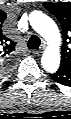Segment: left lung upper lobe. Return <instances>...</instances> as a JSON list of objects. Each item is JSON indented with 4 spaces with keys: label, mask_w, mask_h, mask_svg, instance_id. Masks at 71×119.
Instances as JSON below:
<instances>
[{
    "label": "left lung upper lobe",
    "mask_w": 71,
    "mask_h": 119,
    "mask_svg": "<svg viewBox=\"0 0 71 119\" xmlns=\"http://www.w3.org/2000/svg\"><path fill=\"white\" fill-rule=\"evenodd\" d=\"M43 6L61 23L63 46L60 67L71 69V2H45Z\"/></svg>",
    "instance_id": "obj_1"
}]
</instances>
